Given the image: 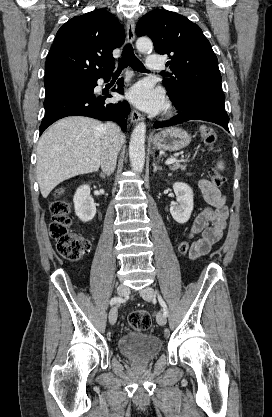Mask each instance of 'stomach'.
<instances>
[{
	"instance_id": "stomach-1",
	"label": "stomach",
	"mask_w": 272,
	"mask_h": 417,
	"mask_svg": "<svg viewBox=\"0 0 272 417\" xmlns=\"http://www.w3.org/2000/svg\"><path fill=\"white\" fill-rule=\"evenodd\" d=\"M190 141L187 131L179 127H169L154 136L153 146L158 150L174 152L187 147Z\"/></svg>"
}]
</instances>
